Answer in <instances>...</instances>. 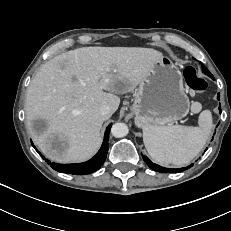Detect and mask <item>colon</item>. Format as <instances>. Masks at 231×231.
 Returning <instances> with one entry per match:
<instances>
[{
	"label": "colon",
	"instance_id": "1",
	"mask_svg": "<svg viewBox=\"0 0 231 231\" xmlns=\"http://www.w3.org/2000/svg\"><path fill=\"white\" fill-rule=\"evenodd\" d=\"M184 79L186 81V84L192 90L203 91L207 88V82L204 79L198 77L196 70L191 66L185 68Z\"/></svg>",
	"mask_w": 231,
	"mask_h": 231
}]
</instances>
